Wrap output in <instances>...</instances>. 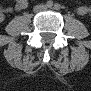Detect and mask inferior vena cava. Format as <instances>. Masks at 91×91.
Instances as JSON below:
<instances>
[{
	"mask_svg": "<svg viewBox=\"0 0 91 91\" xmlns=\"http://www.w3.org/2000/svg\"><path fill=\"white\" fill-rule=\"evenodd\" d=\"M45 7H35V11H40V10H42V9H44Z\"/></svg>",
	"mask_w": 91,
	"mask_h": 91,
	"instance_id": "inferior-vena-cava-1",
	"label": "inferior vena cava"
}]
</instances>
